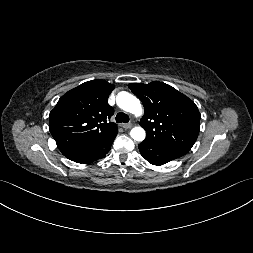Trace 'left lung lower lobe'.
I'll return each instance as SVG.
<instances>
[{"mask_svg": "<svg viewBox=\"0 0 253 253\" xmlns=\"http://www.w3.org/2000/svg\"><path fill=\"white\" fill-rule=\"evenodd\" d=\"M138 148L141 155L153 165H163L187 153L176 147L165 146L148 141L140 143Z\"/></svg>", "mask_w": 253, "mask_h": 253, "instance_id": "left-lung-lower-lobe-1", "label": "left lung lower lobe"}]
</instances>
